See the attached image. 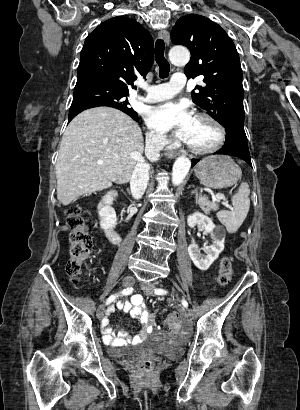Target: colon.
Returning a JSON list of instances; mask_svg holds the SVG:
<instances>
[{
  "mask_svg": "<svg viewBox=\"0 0 300 410\" xmlns=\"http://www.w3.org/2000/svg\"><path fill=\"white\" fill-rule=\"evenodd\" d=\"M66 224L69 228V260L66 265V272L73 285H78L84 275V262L88 257L92 247V239L88 233L86 220L78 205L68 208L66 213ZM232 267L228 256H223L220 261V271L218 282L221 286H226L231 280ZM178 322V316L172 313L167 318L169 326ZM152 358H142L137 362L138 369L143 373H149L154 368Z\"/></svg>",
  "mask_w": 300,
  "mask_h": 410,
  "instance_id": "1",
  "label": "colon"
}]
</instances>
